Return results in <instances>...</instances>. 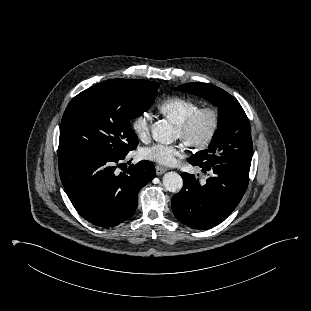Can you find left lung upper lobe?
<instances>
[{
    "instance_id": "5c2ea615",
    "label": "left lung upper lobe",
    "mask_w": 311,
    "mask_h": 311,
    "mask_svg": "<svg viewBox=\"0 0 311 311\" xmlns=\"http://www.w3.org/2000/svg\"><path fill=\"white\" fill-rule=\"evenodd\" d=\"M177 90L202 97L218 106V127L208 149L192 155L196 165L238 164L250 167V123L239 102L223 89L207 83H187Z\"/></svg>"
}]
</instances>
